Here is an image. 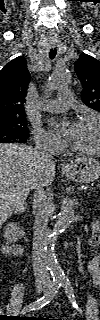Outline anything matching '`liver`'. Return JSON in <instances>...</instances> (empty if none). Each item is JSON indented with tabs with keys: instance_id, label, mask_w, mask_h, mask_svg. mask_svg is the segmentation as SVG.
<instances>
[{
	"instance_id": "6515ba94",
	"label": "liver",
	"mask_w": 100,
	"mask_h": 320,
	"mask_svg": "<svg viewBox=\"0 0 100 320\" xmlns=\"http://www.w3.org/2000/svg\"><path fill=\"white\" fill-rule=\"evenodd\" d=\"M55 178V163L43 159L33 148L18 143L0 145V213L5 220L25 209L36 185L48 186Z\"/></svg>"
}]
</instances>
